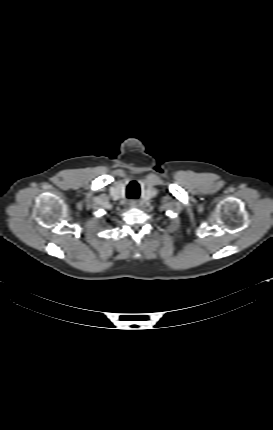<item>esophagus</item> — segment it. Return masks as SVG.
I'll return each instance as SVG.
<instances>
[{
	"label": "esophagus",
	"mask_w": 273,
	"mask_h": 430,
	"mask_svg": "<svg viewBox=\"0 0 273 430\" xmlns=\"http://www.w3.org/2000/svg\"><path fill=\"white\" fill-rule=\"evenodd\" d=\"M129 206H130L131 208H134V207H137V206H138V204H137V202H136V201H131V202H130V204H129Z\"/></svg>",
	"instance_id": "1"
}]
</instances>
